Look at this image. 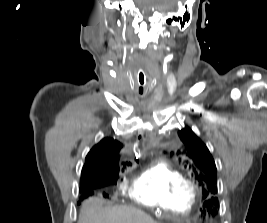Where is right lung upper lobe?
<instances>
[{
	"label": "right lung upper lobe",
	"instance_id": "1",
	"mask_svg": "<svg viewBox=\"0 0 267 223\" xmlns=\"http://www.w3.org/2000/svg\"><path fill=\"white\" fill-rule=\"evenodd\" d=\"M121 144L110 138H104L88 153L81 179L103 177L109 170L119 168L118 152Z\"/></svg>",
	"mask_w": 267,
	"mask_h": 223
}]
</instances>
